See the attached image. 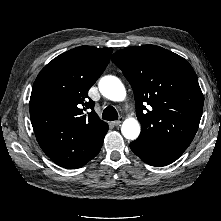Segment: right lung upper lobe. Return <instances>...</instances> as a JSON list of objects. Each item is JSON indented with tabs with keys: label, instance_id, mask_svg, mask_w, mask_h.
Returning <instances> with one entry per match:
<instances>
[{
	"label": "right lung upper lobe",
	"instance_id": "cb5924a9",
	"mask_svg": "<svg viewBox=\"0 0 221 221\" xmlns=\"http://www.w3.org/2000/svg\"><path fill=\"white\" fill-rule=\"evenodd\" d=\"M112 51L92 46L71 49L48 63L33 84L30 117L37 141L61 167L76 169L93 159L108 131L88 91L105 70Z\"/></svg>",
	"mask_w": 221,
	"mask_h": 221
}]
</instances>
